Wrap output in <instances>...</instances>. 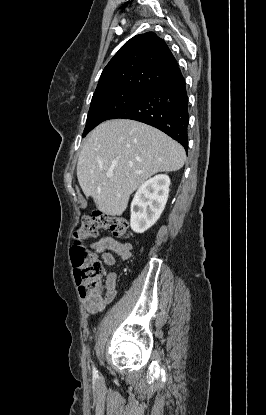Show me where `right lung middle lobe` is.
<instances>
[{"label":"right lung middle lobe","instance_id":"dd1d6c3e","mask_svg":"<svg viewBox=\"0 0 266 415\" xmlns=\"http://www.w3.org/2000/svg\"><path fill=\"white\" fill-rule=\"evenodd\" d=\"M148 93L147 90L120 88L94 94L83 136L117 112L143 99Z\"/></svg>","mask_w":266,"mask_h":415}]
</instances>
